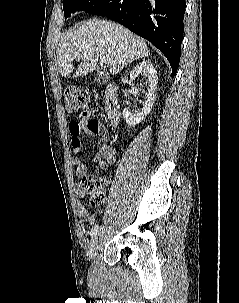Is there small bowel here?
<instances>
[{
	"label": "small bowel",
	"instance_id": "c3829d8e",
	"mask_svg": "<svg viewBox=\"0 0 239 303\" xmlns=\"http://www.w3.org/2000/svg\"><path fill=\"white\" fill-rule=\"evenodd\" d=\"M69 133L71 145L77 155L75 158V165L76 175L78 177H83L87 172L86 161L80 157V153L83 149L82 136L96 137L97 152L93 157V161H103L108 165L115 162L116 150L109 144L110 135L107 129L98 120L93 118H81L77 121H71L69 123ZM75 198L79 219L89 225H93L96 221V216L85 206V193L80 186L76 187Z\"/></svg>",
	"mask_w": 239,
	"mask_h": 303
}]
</instances>
